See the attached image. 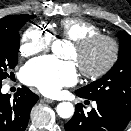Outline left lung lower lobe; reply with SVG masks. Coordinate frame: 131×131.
Listing matches in <instances>:
<instances>
[{
	"mask_svg": "<svg viewBox=\"0 0 131 131\" xmlns=\"http://www.w3.org/2000/svg\"><path fill=\"white\" fill-rule=\"evenodd\" d=\"M76 94L85 98L77 91ZM95 101L97 108L87 114L84 113L82 105L77 104L74 116L65 124L66 131H123L127 127L131 116L112 103Z\"/></svg>",
	"mask_w": 131,
	"mask_h": 131,
	"instance_id": "obj_1",
	"label": "left lung lower lobe"
}]
</instances>
